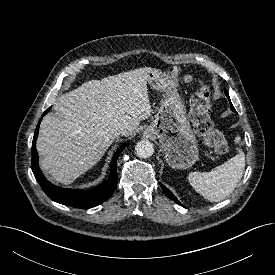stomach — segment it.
<instances>
[{"instance_id":"1","label":"stomach","mask_w":275,"mask_h":275,"mask_svg":"<svg viewBox=\"0 0 275 275\" xmlns=\"http://www.w3.org/2000/svg\"><path fill=\"white\" fill-rule=\"evenodd\" d=\"M148 82L154 89L164 92V99L145 134L159 140L170 167L187 169L198 160L199 149L178 93V72L153 69L148 75Z\"/></svg>"}]
</instances>
